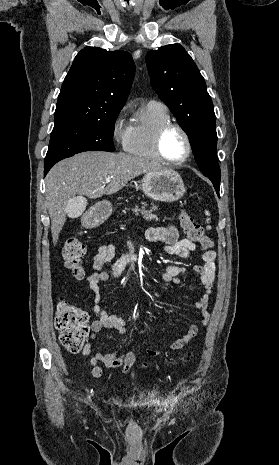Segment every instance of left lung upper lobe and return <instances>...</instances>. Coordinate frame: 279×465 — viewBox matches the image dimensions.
I'll list each match as a JSON object with an SVG mask.
<instances>
[{"instance_id": "left-lung-upper-lobe-1", "label": "left lung upper lobe", "mask_w": 279, "mask_h": 465, "mask_svg": "<svg viewBox=\"0 0 279 465\" xmlns=\"http://www.w3.org/2000/svg\"><path fill=\"white\" fill-rule=\"evenodd\" d=\"M146 62L152 88L187 133L200 170L219 193L215 113L203 76L179 44L150 51Z\"/></svg>"}]
</instances>
